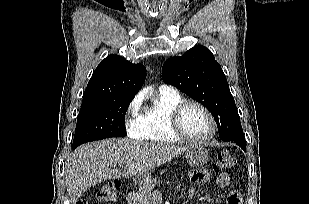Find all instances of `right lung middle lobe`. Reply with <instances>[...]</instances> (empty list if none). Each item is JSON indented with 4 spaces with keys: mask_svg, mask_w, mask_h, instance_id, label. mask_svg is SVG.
Wrapping results in <instances>:
<instances>
[{
    "mask_svg": "<svg viewBox=\"0 0 309 204\" xmlns=\"http://www.w3.org/2000/svg\"><path fill=\"white\" fill-rule=\"evenodd\" d=\"M133 98H109L81 105L73 148L94 140L125 137V114Z\"/></svg>",
    "mask_w": 309,
    "mask_h": 204,
    "instance_id": "1",
    "label": "right lung middle lobe"
}]
</instances>
